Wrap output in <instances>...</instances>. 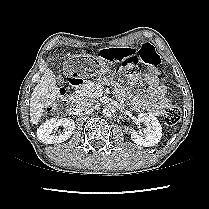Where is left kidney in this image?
Listing matches in <instances>:
<instances>
[{"instance_id": "left-kidney-1", "label": "left kidney", "mask_w": 209, "mask_h": 209, "mask_svg": "<svg viewBox=\"0 0 209 209\" xmlns=\"http://www.w3.org/2000/svg\"><path fill=\"white\" fill-rule=\"evenodd\" d=\"M138 121L146 125L143 131L144 135H140L134 131L130 132L132 141L144 147H151L158 144L162 137V127L158 119L150 113H140L138 115Z\"/></svg>"}]
</instances>
